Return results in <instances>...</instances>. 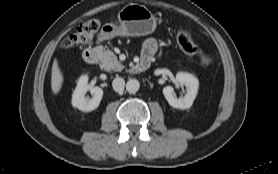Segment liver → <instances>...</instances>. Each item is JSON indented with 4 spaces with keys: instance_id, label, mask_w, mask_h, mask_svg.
<instances>
[{
    "instance_id": "6515ba94",
    "label": "liver",
    "mask_w": 278,
    "mask_h": 174,
    "mask_svg": "<svg viewBox=\"0 0 278 174\" xmlns=\"http://www.w3.org/2000/svg\"><path fill=\"white\" fill-rule=\"evenodd\" d=\"M64 81L63 74L60 70L57 59L55 58L52 65L51 88L54 94H58Z\"/></svg>"
}]
</instances>
